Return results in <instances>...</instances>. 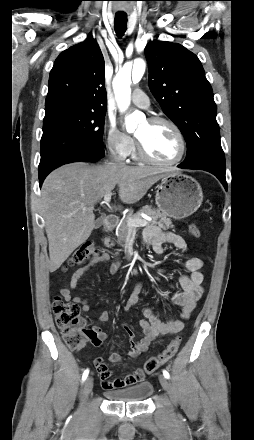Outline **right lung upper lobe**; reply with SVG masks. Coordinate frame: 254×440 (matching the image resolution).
<instances>
[{"instance_id": "1", "label": "right lung upper lobe", "mask_w": 254, "mask_h": 440, "mask_svg": "<svg viewBox=\"0 0 254 440\" xmlns=\"http://www.w3.org/2000/svg\"><path fill=\"white\" fill-rule=\"evenodd\" d=\"M105 63L93 38L60 53L49 76L45 108L60 104L106 110Z\"/></svg>"}]
</instances>
